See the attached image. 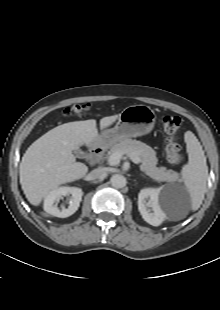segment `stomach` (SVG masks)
Here are the masks:
<instances>
[{"mask_svg":"<svg viewBox=\"0 0 220 310\" xmlns=\"http://www.w3.org/2000/svg\"><path fill=\"white\" fill-rule=\"evenodd\" d=\"M155 121V112L149 106H128L119 114L113 128L102 131L99 142L112 145L126 138L146 135L152 131Z\"/></svg>","mask_w":220,"mask_h":310,"instance_id":"1","label":"stomach"}]
</instances>
